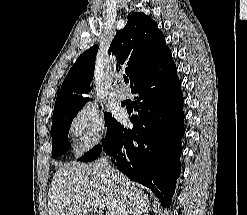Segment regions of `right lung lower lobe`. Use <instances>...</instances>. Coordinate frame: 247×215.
Returning <instances> with one entry per match:
<instances>
[{
  "label": "right lung lower lobe",
  "mask_w": 247,
  "mask_h": 215,
  "mask_svg": "<svg viewBox=\"0 0 247 215\" xmlns=\"http://www.w3.org/2000/svg\"><path fill=\"white\" fill-rule=\"evenodd\" d=\"M131 92L137 94L138 111L130 118L133 128L114 119L102 146L78 160L93 161L105 150L118 170L150 188L168 208L180 175L184 135L183 95L170 50L133 84Z\"/></svg>",
  "instance_id": "1"
}]
</instances>
